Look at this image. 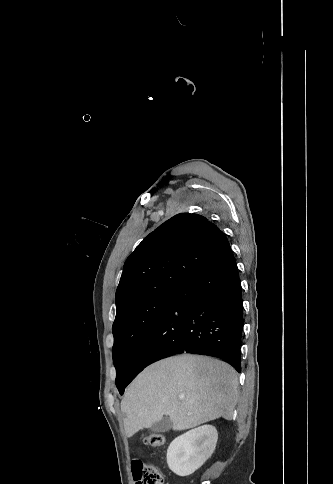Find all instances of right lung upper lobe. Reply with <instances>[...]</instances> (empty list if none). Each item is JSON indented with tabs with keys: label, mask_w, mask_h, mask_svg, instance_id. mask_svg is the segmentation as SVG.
<instances>
[{
	"label": "right lung upper lobe",
	"mask_w": 333,
	"mask_h": 484,
	"mask_svg": "<svg viewBox=\"0 0 333 484\" xmlns=\"http://www.w3.org/2000/svg\"><path fill=\"white\" fill-rule=\"evenodd\" d=\"M230 249L225 234L207 218L190 213L170 218L127 258L115 319L162 292L180 289Z\"/></svg>",
	"instance_id": "1"
}]
</instances>
